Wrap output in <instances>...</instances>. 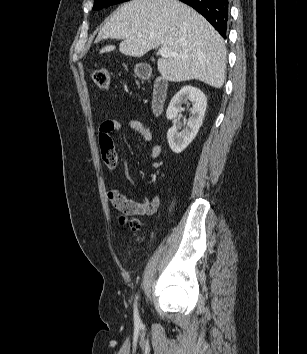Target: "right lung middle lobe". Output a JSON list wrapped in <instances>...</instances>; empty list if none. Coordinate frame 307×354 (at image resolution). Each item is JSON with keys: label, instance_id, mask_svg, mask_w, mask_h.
Returning <instances> with one entry per match:
<instances>
[{"label": "right lung middle lobe", "instance_id": "right-lung-middle-lobe-1", "mask_svg": "<svg viewBox=\"0 0 307 354\" xmlns=\"http://www.w3.org/2000/svg\"><path fill=\"white\" fill-rule=\"evenodd\" d=\"M129 0H95L93 10L102 9L117 3L125 2Z\"/></svg>", "mask_w": 307, "mask_h": 354}]
</instances>
